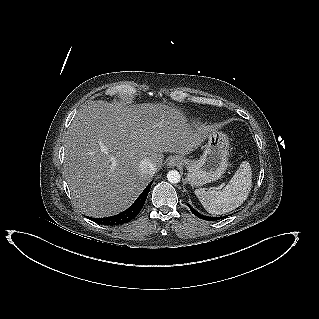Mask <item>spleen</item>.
Here are the masks:
<instances>
[{
    "label": "spleen",
    "mask_w": 319,
    "mask_h": 319,
    "mask_svg": "<svg viewBox=\"0 0 319 319\" xmlns=\"http://www.w3.org/2000/svg\"><path fill=\"white\" fill-rule=\"evenodd\" d=\"M251 187V167L248 161H243L223 190L196 189L195 195L205 210L214 215H221L241 206L247 199Z\"/></svg>",
    "instance_id": "spleen-1"
}]
</instances>
